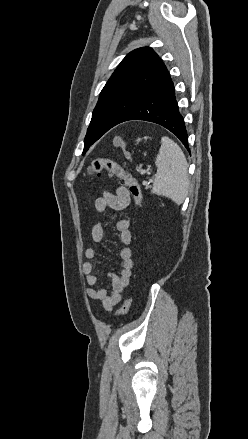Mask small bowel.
<instances>
[{"label":"small bowel","instance_id":"obj_1","mask_svg":"<svg viewBox=\"0 0 248 439\" xmlns=\"http://www.w3.org/2000/svg\"><path fill=\"white\" fill-rule=\"evenodd\" d=\"M130 200L129 191L124 186H120L116 189L115 193L104 191L102 196L95 200V209L98 212H105L107 209L123 210L129 205ZM116 229L121 243L129 245L132 240L129 220L124 217L117 219ZM91 238L95 243H100L103 240V223H96L92 227ZM84 254L87 260L83 263L82 270L85 274L86 284L89 286L87 295L93 300L100 301L106 311H112L121 301L123 290L129 285L134 265L132 251L128 246L120 249L119 256L122 261V269L118 275L114 273L108 275L110 278L109 289L100 286L99 278L94 272L95 263L93 260L96 256V250L93 247H89L85 250Z\"/></svg>","mask_w":248,"mask_h":439}]
</instances>
